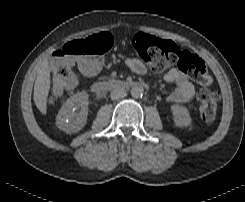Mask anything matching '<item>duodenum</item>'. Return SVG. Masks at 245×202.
<instances>
[{"instance_id":"1","label":"duodenum","mask_w":245,"mask_h":202,"mask_svg":"<svg viewBox=\"0 0 245 202\" xmlns=\"http://www.w3.org/2000/svg\"><path fill=\"white\" fill-rule=\"evenodd\" d=\"M137 86H145L137 81H116L111 79H105L103 81L93 84L92 91L96 94H103L105 91L109 90H128L135 88Z\"/></svg>"}]
</instances>
